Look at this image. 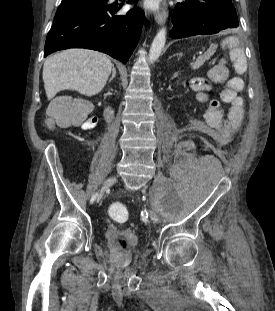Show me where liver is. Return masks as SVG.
Instances as JSON below:
<instances>
[{
	"label": "liver",
	"mask_w": 275,
	"mask_h": 311,
	"mask_svg": "<svg viewBox=\"0 0 275 311\" xmlns=\"http://www.w3.org/2000/svg\"><path fill=\"white\" fill-rule=\"evenodd\" d=\"M111 60L103 53L88 49H68L50 56L43 66L47 99L59 91H78L82 95L98 94L111 74Z\"/></svg>",
	"instance_id": "1"
}]
</instances>
